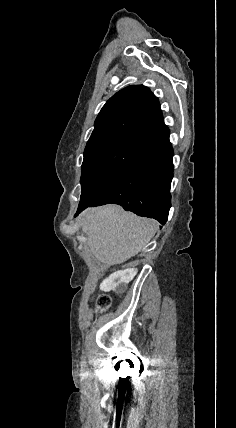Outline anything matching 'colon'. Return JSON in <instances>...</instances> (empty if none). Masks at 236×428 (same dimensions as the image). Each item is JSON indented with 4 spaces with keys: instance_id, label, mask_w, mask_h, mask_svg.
<instances>
[{
    "instance_id": "1",
    "label": "colon",
    "mask_w": 236,
    "mask_h": 428,
    "mask_svg": "<svg viewBox=\"0 0 236 428\" xmlns=\"http://www.w3.org/2000/svg\"><path fill=\"white\" fill-rule=\"evenodd\" d=\"M97 308L100 312H104L108 310L111 305V299L108 296H100L96 300Z\"/></svg>"
}]
</instances>
